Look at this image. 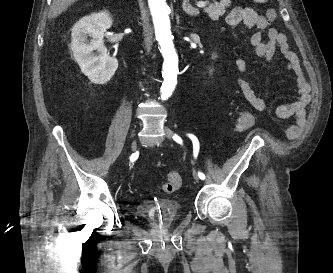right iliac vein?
Segmentation results:
<instances>
[{"mask_svg": "<svg viewBox=\"0 0 333 273\" xmlns=\"http://www.w3.org/2000/svg\"><path fill=\"white\" fill-rule=\"evenodd\" d=\"M136 148H137L136 141H135V140H133V141L131 142V151H134V150H136Z\"/></svg>", "mask_w": 333, "mask_h": 273, "instance_id": "right-iliac-vein-1", "label": "right iliac vein"}]
</instances>
